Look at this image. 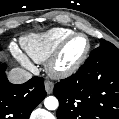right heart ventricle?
<instances>
[{
  "mask_svg": "<svg viewBox=\"0 0 119 119\" xmlns=\"http://www.w3.org/2000/svg\"><path fill=\"white\" fill-rule=\"evenodd\" d=\"M71 33L73 31L68 28L55 27L42 33L30 34L23 39L22 45L30 58L41 63L45 62L58 44Z\"/></svg>",
  "mask_w": 119,
  "mask_h": 119,
  "instance_id": "obj_1",
  "label": "right heart ventricle"
}]
</instances>
